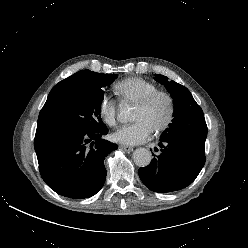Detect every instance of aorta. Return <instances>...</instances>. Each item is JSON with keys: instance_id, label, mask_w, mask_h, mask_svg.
I'll list each match as a JSON object with an SVG mask.
<instances>
[{"instance_id": "aorta-1", "label": "aorta", "mask_w": 248, "mask_h": 248, "mask_svg": "<svg viewBox=\"0 0 248 248\" xmlns=\"http://www.w3.org/2000/svg\"><path fill=\"white\" fill-rule=\"evenodd\" d=\"M118 118L121 122L124 123L131 121L132 109L129 106L121 108L118 114ZM133 160L137 166L146 167L152 160V154L148 149L140 147L133 152Z\"/></svg>"}]
</instances>
